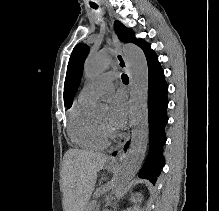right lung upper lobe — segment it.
Segmentation results:
<instances>
[{
  "instance_id": "cb5924a9",
  "label": "right lung upper lobe",
  "mask_w": 219,
  "mask_h": 211,
  "mask_svg": "<svg viewBox=\"0 0 219 211\" xmlns=\"http://www.w3.org/2000/svg\"><path fill=\"white\" fill-rule=\"evenodd\" d=\"M64 102H65V104H66V95L64 94Z\"/></svg>"
}]
</instances>
